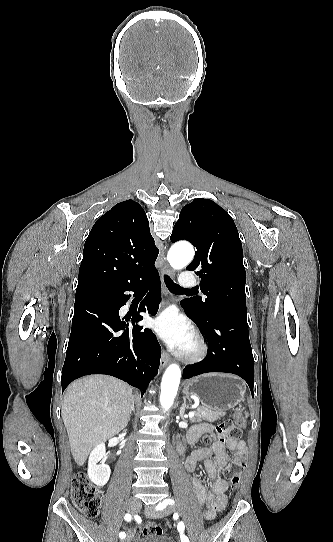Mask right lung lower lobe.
Returning <instances> with one entry per match:
<instances>
[{
  "label": "right lung lower lobe",
  "mask_w": 333,
  "mask_h": 542,
  "mask_svg": "<svg viewBox=\"0 0 333 542\" xmlns=\"http://www.w3.org/2000/svg\"><path fill=\"white\" fill-rule=\"evenodd\" d=\"M114 254L101 248L84 250L81 266L99 268L113 263ZM155 260H145L128 285L77 288L72 330L62 369V392L75 379L107 374L144 390L157 374L161 347L148 328L135 325L140 312L155 315L160 302V277ZM148 289L138 312L120 318L119 309L135 294ZM131 322L133 328L131 327Z\"/></svg>",
  "instance_id": "98d812e1"
}]
</instances>
